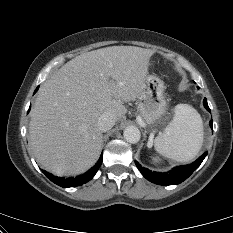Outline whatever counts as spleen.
I'll return each instance as SVG.
<instances>
[{"mask_svg": "<svg viewBox=\"0 0 233 233\" xmlns=\"http://www.w3.org/2000/svg\"><path fill=\"white\" fill-rule=\"evenodd\" d=\"M204 139L203 122L200 114L190 105L179 104L174 117L154 140V147L161 155L187 162L199 153ZM158 162V158H153Z\"/></svg>", "mask_w": 233, "mask_h": 233, "instance_id": "spleen-1", "label": "spleen"}]
</instances>
